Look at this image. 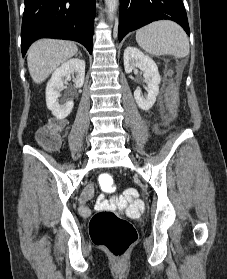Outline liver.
<instances>
[{"instance_id": "liver-1", "label": "liver", "mask_w": 227, "mask_h": 279, "mask_svg": "<svg viewBox=\"0 0 227 279\" xmlns=\"http://www.w3.org/2000/svg\"><path fill=\"white\" fill-rule=\"evenodd\" d=\"M78 51L75 43L64 40L41 39L28 50L27 64L33 81L42 83L62 63Z\"/></svg>"}]
</instances>
